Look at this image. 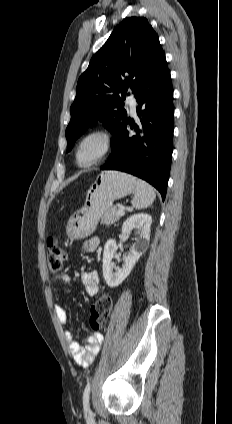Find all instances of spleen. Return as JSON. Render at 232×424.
<instances>
[{
    "label": "spleen",
    "mask_w": 232,
    "mask_h": 424,
    "mask_svg": "<svg viewBox=\"0 0 232 424\" xmlns=\"http://www.w3.org/2000/svg\"><path fill=\"white\" fill-rule=\"evenodd\" d=\"M136 188L132 199V206L135 209H145L155 200V192L151 185L141 179H135Z\"/></svg>",
    "instance_id": "3e777b00"
}]
</instances>
